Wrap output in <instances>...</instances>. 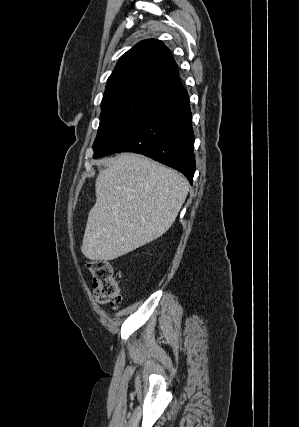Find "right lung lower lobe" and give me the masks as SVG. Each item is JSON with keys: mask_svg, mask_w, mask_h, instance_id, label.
<instances>
[{"mask_svg": "<svg viewBox=\"0 0 299 427\" xmlns=\"http://www.w3.org/2000/svg\"><path fill=\"white\" fill-rule=\"evenodd\" d=\"M194 133L186 89L156 100L111 145L94 158L115 152H137L183 173L192 184Z\"/></svg>", "mask_w": 299, "mask_h": 427, "instance_id": "1", "label": "right lung lower lobe"}]
</instances>
